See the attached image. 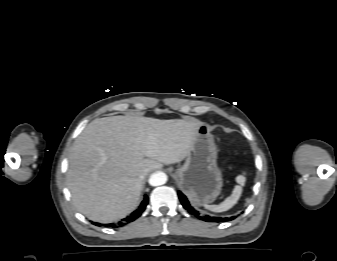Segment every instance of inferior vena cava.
I'll list each match as a JSON object with an SVG mask.
<instances>
[{
	"instance_id": "inferior-vena-cava-1",
	"label": "inferior vena cava",
	"mask_w": 337,
	"mask_h": 261,
	"mask_svg": "<svg viewBox=\"0 0 337 261\" xmlns=\"http://www.w3.org/2000/svg\"><path fill=\"white\" fill-rule=\"evenodd\" d=\"M147 173H148V170H147V169L143 170V171L141 172V174H140V178H141V179H144V177L146 176Z\"/></svg>"
}]
</instances>
